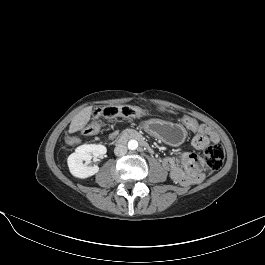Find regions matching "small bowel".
I'll use <instances>...</instances> for the list:
<instances>
[{
  "instance_id": "small-bowel-1",
  "label": "small bowel",
  "mask_w": 265,
  "mask_h": 265,
  "mask_svg": "<svg viewBox=\"0 0 265 265\" xmlns=\"http://www.w3.org/2000/svg\"><path fill=\"white\" fill-rule=\"evenodd\" d=\"M197 128H189L197 134L192 139L196 149H203L209 144L218 142L217 134L207 125L197 123ZM118 131L109 133V138L114 139ZM163 167L169 172L174 182L182 186L201 183L205 179L200 158L191 152L182 153L178 158L168 156L163 160Z\"/></svg>"
}]
</instances>
